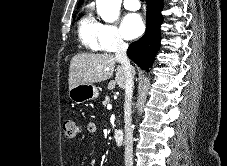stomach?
Masks as SVG:
<instances>
[{
    "mask_svg": "<svg viewBox=\"0 0 227 166\" xmlns=\"http://www.w3.org/2000/svg\"><path fill=\"white\" fill-rule=\"evenodd\" d=\"M68 96L71 101L80 104L96 99L99 96V92L93 84H79L69 89Z\"/></svg>",
    "mask_w": 227,
    "mask_h": 166,
    "instance_id": "stomach-1",
    "label": "stomach"
}]
</instances>
